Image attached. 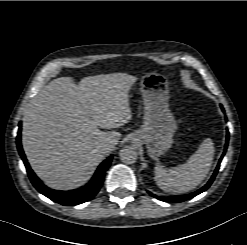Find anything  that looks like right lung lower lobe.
<instances>
[{
  "label": "right lung lower lobe",
  "instance_id": "98d812e1",
  "mask_svg": "<svg viewBox=\"0 0 247 245\" xmlns=\"http://www.w3.org/2000/svg\"><path fill=\"white\" fill-rule=\"evenodd\" d=\"M16 139L19 154L25 164L28 176L33 186L41 194L45 195L52 201L62 204L64 206L78 205L91 200L99 192L104 181L105 172L110 166L113 158V155H111L100 164L92 180L86 186L68 192L55 191L46 187L30 168L21 146V123L19 124V130Z\"/></svg>",
  "mask_w": 247,
  "mask_h": 245
}]
</instances>
